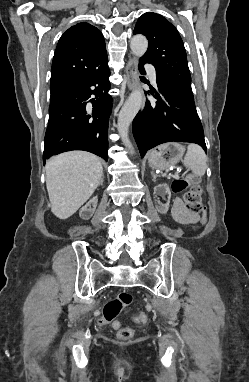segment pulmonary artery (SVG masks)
Here are the masks:
<instances>
[{"label": "pulmonary artery", "mask_w": 249, "mask_h": 382, "mask_svg": "<svg viewBox=\"0 0 249 382\" xmlns=\"http://www.w3.org/2000/svg\"><path fill=\"white\" fill-rule=\"evenodd\" d=\"M147 70L149 72L150 79L152 82H156V72L152 66H147Z\"/></svg>", "instance_id": "1"}]
</instances>
